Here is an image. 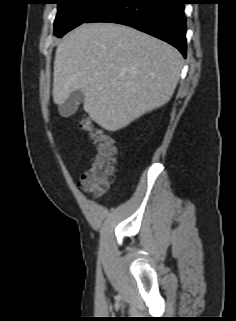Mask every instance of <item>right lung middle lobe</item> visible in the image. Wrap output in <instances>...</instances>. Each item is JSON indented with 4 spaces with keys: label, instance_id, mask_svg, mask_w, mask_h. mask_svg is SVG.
Instances as JSON below:
<instances>
[{
    "label": "right lung middle lobe",
    "instance_id": "right-lung-middle-lobe-1",
    "mask_svg": "<svg viewBox=\"0 0 236 321\" xmlns=\"http://www.w3.org/2000/svg\"><path fill=\"white\" fill-rule=\"evenodd\" d=\"M109 0H56L58 12L54 22V34L62 37L68 31L84 23Z\"/></svg>",
    "mask_w": 236,
    "mask_h": 321
}]
</instances>
